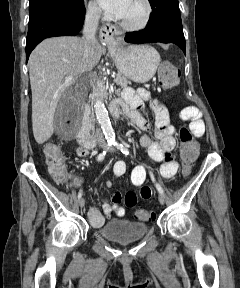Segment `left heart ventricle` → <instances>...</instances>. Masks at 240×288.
<instances>
[{
    "label": "left heart ventricle",
    "mask_w": 240,
    "mask_h": 288,
    "mask_svg": "<svg viewBox=\"0 0 240 288\" xmlns=\"http://www.w3.org/2000/svg\"><path fill=\"white\" fill-rule=\"evenodd\" d=\"M145 12L146 9L141 0H130L128 8L121 19L130 24H137L143 20Z\"/></svg>",
    "instance_id": "left-heart-ventricle-1"
}]
</instances>
